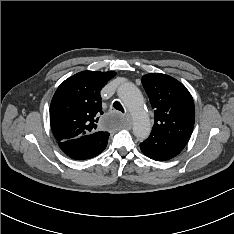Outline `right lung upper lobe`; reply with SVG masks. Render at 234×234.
I'll return each mask as SVG.
<instances>
[{
  "label": "right lung upper lobe",
  "mask_w": 234,
  "mask_h": 234,
  "mask_svg": "<svg viewBox=\"0 0 234 234\" xmlns=\"http://www.w3.org/2000/svg\"><path fill=\"white\" fill-rule=\"evenodd\" d=\"M115 72L83 71L60 84L50 105V123L58 142L100 131L98 120L103 114L100 91Z\"/></svg>",
  "instance_id": "right-lung-upper-lobe-1"
}]
</instances>
